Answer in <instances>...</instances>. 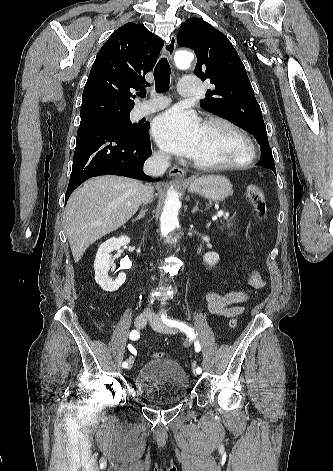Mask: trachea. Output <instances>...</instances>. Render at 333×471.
Masks as SVG:
<instances>
[{"label":"trachea","mask_w":333,"mask_h":471,"mask_svg":"<svg viewBox=\"0 0 333 471\" xmlns=\"http://www.w3.org/2000/svg\"><path fill=\"white\" fill-rule=\"evenodd\" d=\"M170 73L171 69L167 58H161L154 69L155 88L157 93H162L168 90L170 84ZM138 95L140 97H145L146 91H141Z\"/></svg>","instance_id":"trachea-1"}]
</instances>
